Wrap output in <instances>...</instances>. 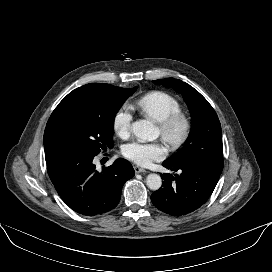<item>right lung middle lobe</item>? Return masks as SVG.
<instances>
[{
	"label": "right lung middle lobe",
	"instance_id": "obj_1",
	"mask_svg": "<svg viewBox=\"0 0 272 272\" xmlns=\"http://www.w3.org/2000/svg\"><path fill=\"white\" fill-rule=\"evenodd\" d=\"M137 87L106 95L99 110L64 114L48 121L44 132L46 162L74 154L97 155L113 147L114 114Z\"/></svg>",
	"mask_w": 272,
	"mask_h": 272
}]
</instances>
